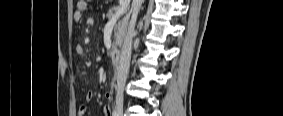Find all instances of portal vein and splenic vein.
<instances>
[{
    "mask_svg": "<svg viewBox=\"0 0 283 116\" xmlns=\"http://www.w3.org/2000/svg\"><path fill=\"white\" fill-rule=\"evenodd\" d=\"M127 2H128L127 0H122V4L120 5V7L117 9V11L112 17L113 19H118L121 15H123L126 12L128 8Z\"/></svg>",
    "mask_w": 283,
    "mask_h": 116,
    "instance_id": "obj_1",
    "label": "portal vein and splenic vein"
}]
</instances>
